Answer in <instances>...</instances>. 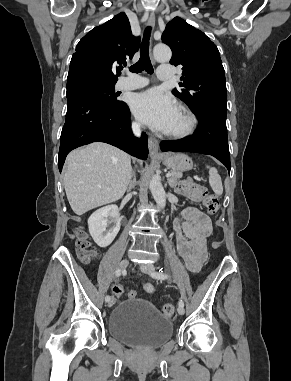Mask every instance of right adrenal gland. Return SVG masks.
<instances>
[{
    "label": "right adrenal gland",
    "instance_id": "1",
    "mask_svg": "<svg viewBox=\"0 0 291 381\" xmlns=\"http://www.w3.org/2000/svg\"><path fill=\"white\" fill-rule=\"evenodd\" d=\"M136 179L135 177L130 181L129 186H128V191L133 189L135 187Z\"/></svg>",
    "mask_w": 291,
    "mask_h": 381
}]
</instances>
